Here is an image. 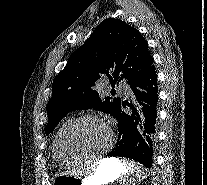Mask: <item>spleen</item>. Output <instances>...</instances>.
Listing matches in <instances>:
<instances>
[{"mask_svg":"<svg viewBox=\"0 0 207 185\" xmlns=\"http://www.w3.org/2000/svg\"><path fill=\"white\" fill-rule=\"evenodd\" d=\"M120 163H124V171H129L127 174H122L121 183L133 185V183H140L138 177L148 179L147 168L139 166V162H133V158H120Z\"/></svg>","mask_w":207,"mask_h":185,"instance_id":"spleen-1","label":"spleen"}]
</instances>
